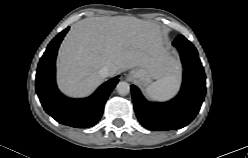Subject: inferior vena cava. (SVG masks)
<instances>
[{
  "label": "inferior vena cava",
  "mask_w": 248,
  "mask_h": 158,
  "mask_svg": "<svg viewBox=\"0 0 248 158\" xmlns=\"http://www.w3.org/2000/svg\"><path fill=\"white\" fill-rule=\"evenodd\" d=\"M99 75L102 77V78H106L110 75V70L107 66L105 67H102L100 70H99Z\"/></svg>",
  "instance_id": "obj_1"
}]
</instances>
